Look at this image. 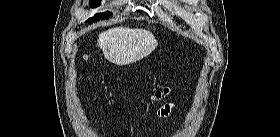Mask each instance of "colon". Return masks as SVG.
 Instances as JSON below:
<instances>
[{
  "instance_id": "1",
  "label": "colon",
  "mask_w": 280,
  "mask_h": 137,
  "mask_svg": "<svg viewBox=\"0 0 280 137\" xmlns=\"http://www.w3.org/2000/svg\"><path fill=\"white\" fill-rule=\"evenodd\" d=\"M170 93V89L168 87H163L158 90H156L155 93L151 96L152 102H157L161 100L162 98L166 97Z\"/></svg>"
}]
</instances>
